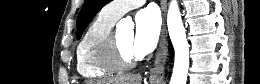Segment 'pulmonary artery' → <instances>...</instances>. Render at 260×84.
I'll list each match as a JSON object with an SVG mask.
<instances>
[{
  "label": "pulmonary artery",
  "mask_w": 260,
  "mask_h": 84,
  "mask_svg": "<svg viewBox=\"0 0 260 84\" xmlns=\"http://www.w3.org/2000/svg\"><path fill=\"white\" fill-rule=\"evenodd\" d=\"M143 3L144 1L141 0L112 1L104 7V11L111 19L118 20L126 12L142 5Z\"/></svg>",
  "instance_id": "obj_1"
}]
</instances>
